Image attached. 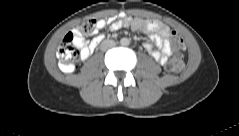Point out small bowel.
<instances>
[{
    "instance_id": "c3829d8e",
    "label": "small bowel",
    "mask_w": 239,
    "mask_h": 136,
    "mask_svg": "<svg viewBox=\"0 0 239 136\" xmlns=\"http://www.w3.org/2000/svg\"><path fill=\"white\" fill-rule=\"evenodd\" d=\"M106 25L107 22L105 20H98L97 28L94 32L95 36L91 40H86L83 37L76 35V41L80 45V55L83 60L87 59L102 41L103 36L98 34V31L105 28ZM125 25H130L134 30L147 34L158 49H155L151 44L146 43L144 45L146 51L159 64L164 65L167 62L168 58L172 54V51L169 41L171 30L166 24L157 20H147L143 18H118L109 24V29L116 31Z\"/></svg>"
}]
</instances>
